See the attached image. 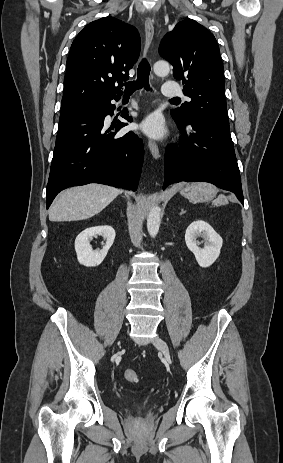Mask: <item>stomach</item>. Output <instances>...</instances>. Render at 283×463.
I'll use <instances>...</instances> for the list:
<instances>
[{"label":"stomach","instance_id":"stomach-1","mask_svg":"<svg viewBox=\"0 0 283 463\" xmlns=\"http://www.w3.org/2000/svg\"><path fill=\"white\" fill-rule=\"evenodd\" d=\"M180 194L194 202H205L212 199L216 189L211 184L199 182L180 187Z\"/></svg>","mask_w":283,"mask_h":463}]
</instances>
